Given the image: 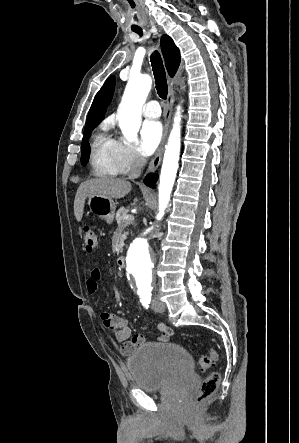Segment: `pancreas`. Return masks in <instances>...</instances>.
Instances as JSON below:
<instances>
[{
    "label": "pancreas",
    "instance_id": "1",
    "mask_svg": "<svg viewBox=\"0 0 299 443\" xmlns=\"http://www.w3.org/2000/svg\"><path fill=\"white\" fill-rule=\"evenodd\" d=\"M128 211L129 210L127 208L121 207L116 212V221H117L118 225L123 226V225L131 224L133 222V220H125L124 219V217L128 215Z\"/></svg>",
    "mask_w": 299,
    "mask_h": 443
}]
</instances>
